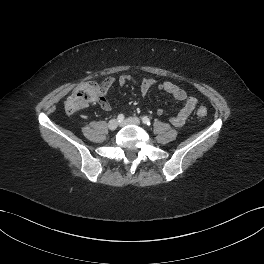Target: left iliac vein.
<instances>
[{
  "label": "left iliac vein",
  "instance_id": "left-iliac-vein-1",
  "mask_svg": "<svg viewBox=\"0 0 264 264\" xmlns=\"http://www.w3.org/2000/svg\"><path fill=\"white\" fill-rule=\"evenodd\" d=\"M128 124L140 125L141 121L137 117H129L122 122V125H128Z\"/></svg>",
  "mask_w": 264,
  "mask_h": 264
}]
</instances>
